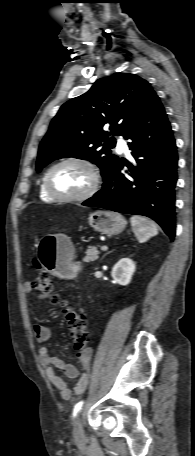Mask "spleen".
Here are the masks:
<instances>
[{
    "label": "spleen",
    "instance_id": "obj_1",
    "mask_svg": "<svg viewBox=\"0 0 195 456\" xmlns=\"http://www.w3.org/2000/svg\"><path fill=\"white\" fill-rule=\"evenodd\" d=\"M132 231L140 243L146 242L151 237L158 234L157 224L145 217L132 216L130 218Z\"/></svg>",
    "mask_w": 195,
    "mask_h": 456
}]
</instances>
